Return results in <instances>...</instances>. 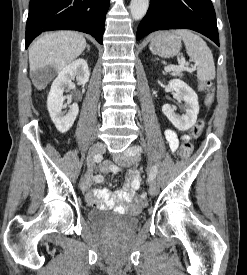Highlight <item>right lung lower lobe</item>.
<instances>
[{
    "label": "right lung lower lobe",
    "mask_w": 247,
    "mask_h": 275,
    "mask_svg": "<svg viewBox=\"0 0 247 275\" xmlns=\"http://www.w3.org/2000/svg\"><path fill=\"white\" fill-rule=\"evenodd\" d=\"M109 0H30L25 46L51 30H77L91 34L100 44Z\"/></svg>",
    "instance_id": "98d812e1"
}]
</instances>
